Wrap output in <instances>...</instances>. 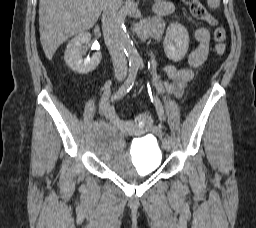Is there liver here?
<instances>
[{"instance_id":"6515ba94","label":"liver","mask_w":256,"mask_h":228,"mask_svg":"<svg viewBox=\"0 0 256 228\" xmlns=\"http://www.w3.org/2000/svg\"><path fill=\"white\" fill-rule=\"evenodd\" d=\"M103 1H39L40 40L48 60L67 39L94 26L101 14Z\"/></svg>"}]
</instances>
